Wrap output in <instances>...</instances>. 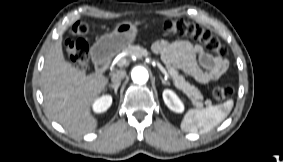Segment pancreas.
<instances>
[{"mask_svg":"<svg viewBox=\"0 0 283 162\" xmlns=\"http://www.w3.org/2000/svg\"><path fill=\"white\" fill-rule=\"evenodd\" d=\"M125 52L131 55H135L138 58L147 57L150 55V53L146 49L140 47L139 45L129 46L125 49ZM166 70L168 75L172 78L174 85L184 94H186V96L191 100L193 104L198 107H202L203 96L198 88L187 82L185 78L170 65L166 66Z\"/></svg>","mask_w":283,"mask_h":162,"instance_id":"cf45deb5","label":"pancreas"}]
</instances>
